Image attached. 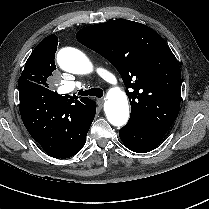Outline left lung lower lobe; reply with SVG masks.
I'll return each instance as SVG.
<instances>
[{"instance_id": "1", "label": "left lung lower lobe", "mask_w": 209, "mask_h": 209, "mask_svg": "<svg viewBox=\"0 0 209 209\" xmlns=\"http://www.w3.org/2000/svg\"><path fill=\"white\" fill-rule=\"evenodd\" d=\"M124 145L131 151L146 153L155 149L162 141V135L156 134L136 121H128L119 131Z\"/></svg>"}]
</instances>
